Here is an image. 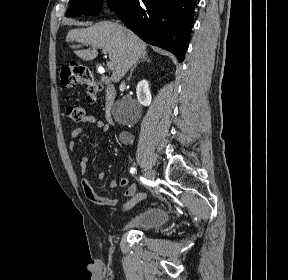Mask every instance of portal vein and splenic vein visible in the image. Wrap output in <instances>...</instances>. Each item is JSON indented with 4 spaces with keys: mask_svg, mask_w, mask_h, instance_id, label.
<instances>
[{
    "mask_svg": "<svg viewBox=\"0 0 288 280\" xmlns=\"http://www.w3.org/2000/svg\"><path fill=\"white\" fill-rule=\"evenodd\" d=\"M103 53H104V54H107V51H106L105 49H103ZM107 67H108V69H110V70H113V69H114V65H113L112 62H107Z\"/></svg>",
    "mask_w": 288,
    "mask_h": 280,
    "instance_id": "18ae733b",
    "label": "portal vein and splenic vein"
}]
</instances>
